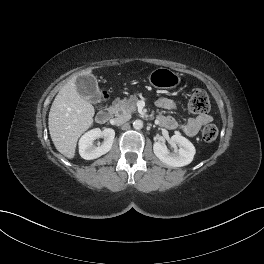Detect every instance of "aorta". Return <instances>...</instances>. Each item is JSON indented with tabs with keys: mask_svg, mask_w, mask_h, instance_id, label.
<instances>
[{
	"mask_svg": "<svg viewBox=\"0 0 264 264\" xmlns=\"http://www.w3.org/2000/svg\"><path fill=\"white\" fill-rule=\"evenodd\" d=\"M133 127H134V129H136V130H140V129H142V128H143V122H142V120H139V119L135 120V121L133 122Z\"/></svg>",
	"mask_w": 264,
	"mask_h": 264,
	"instance_id": "obj_1",
	"label": "aorta"
}]
</instances>
